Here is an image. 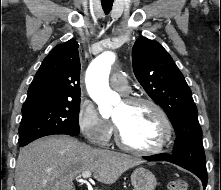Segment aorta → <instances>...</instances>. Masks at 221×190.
<instances>
[{"label": "aorta", "mask_w": 221, "mask_h": 190, "mask_svg": "<svg viewBox=\"0 0 221 190\" xmlns=\"http://www.w3.org/2000/svg\"><path fill=\"white\" fill-rule=\"evenodd\" d=\"M114 61L113 52H104L91 62L86 73L87 91L104 118L111 115L113 105L119 101V96L109 87V74Z\"/></svg>", "instance_id": "762f6f07"}]
</instances>
